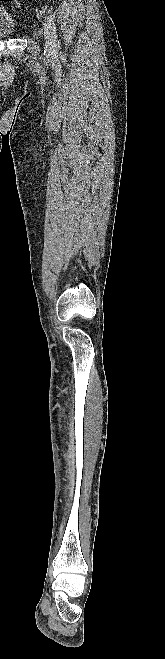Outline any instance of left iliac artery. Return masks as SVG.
<instances>
[{
  "mask_svg": "<svg viewBox=\"0 0 165 659\" xmlns=\"http://www.w3.org/2000/svg\"><path fill=\"white\" fill-rule=\"evenodd\" d=\"M47 22L50 28V31L52 33V37L54 39V43L58 44V39H57V29L55 25V21L52 16H47Z\"/></svg>",
  "mask_w": 165,
  "mask_h": 659,
  "instance_id": "1",
  "label": "left iliac artery"
}]
</instances>
